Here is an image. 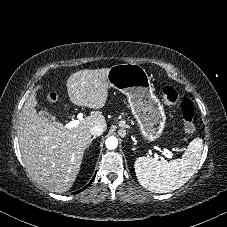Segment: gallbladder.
Returning <instances> with one entry per match:
<instances>
[{
    "label": "gallbladder",
    "mask_w": 227,
    "mask_h": 227,
    "mask_svg": "<svg viewBox=\"0 0 227 227\" xmlns=\"http://www.w3.org/2000/svg\"><path fill=\"white\" fill-rule=\"evenodd\" d=\"M38 114H39L40 117L46 118L50 121L55 120V117L53 115H51L46 109L39 110Z\"/></svg>",
    "instance_id": "bac80fb5"
}]
</instances>
